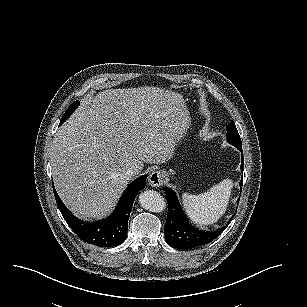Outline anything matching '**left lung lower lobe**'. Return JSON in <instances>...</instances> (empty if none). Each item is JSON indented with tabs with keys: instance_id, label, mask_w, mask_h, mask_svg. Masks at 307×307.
Here are the masks:
<instances>
[{
	"instance_id": "left-lung-lower-lobe-1",
	"label": "left lung lower lobe",
	"mask_w": 307,
	"mask_h": 307,
	"mask_svg": "<svg viewBox=\"0 0 307 307\" xmlns=\"http://www.w3.org/2000/svg\"><path fill=\"white\" fill-rule=\"evenodd\" d=\"M242 154L241 170L244 169V158L242 148L239 149ZM242 188V180L240 181ZM166 199L169 205L167 221L164 226V234L166 242L173 248L177 249H193L198 248L212 242L217 238L229 225L234 215L231 217L225 227H222L213 232H204L192 227L184 216L179 205L176 194L164 188ZM239 202V199H238Z\"/></svg>"
}]
</instances>
